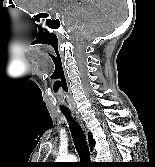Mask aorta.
I'll use <instances>...</instances> for the list:
<instances>
[{
    "mask_svg": "<svg viewBox=\"0 0 155 167\" xmlns=\"http://www.w3.org/2000/svg\"><path fill=\"white\" fill-rule=\"evenodd\" d=\"M59 162H75L76 157L73 155H60L57 157Z\"/></svg>",
    "mask_w": 155,
    "mask_h": 167,
    "instance_id": "762f6f07",
    "label": "aorta"
}]
</instances>
